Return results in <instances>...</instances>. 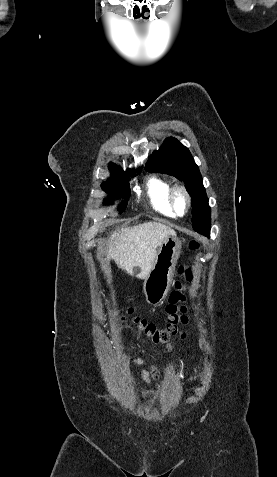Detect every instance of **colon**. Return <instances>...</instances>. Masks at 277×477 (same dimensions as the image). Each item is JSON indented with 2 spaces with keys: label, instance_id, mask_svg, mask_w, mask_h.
<instances>
[{
  "label": "colon",
  "instance_id": "5ec220e1",
  "mask_svg": "<svg viewBox=\"0 0 277 477\" xmlns=\"http://www.w3.org/2000/svg\"><path fill=\"white\" fill-rule=\"evenodd\" d=\"M199 246L200 244L197 240H191L189 243V249L191 251L198 250ZM179 273L184 278V281H177L175 289L170 294L166 306L168 320L164 328H158L155 324L138 316H133L132 318L136 329L143 333L153 346L164 345L169 347L174 337L183 338L185 336L182 326L188 321L186 306L184 305L186 299V283L192 280L193 274L191 268L187 266L180 267ZM132 315L133 311L128 310L127 316Z\"/></svg>",
  "mask_w": 277,
  "mask_h": 477
}]
</instances>
